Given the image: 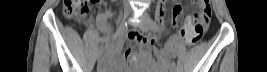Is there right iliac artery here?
<instances>
[{"instance_id": "obj_1", "label": "right iliac artery", "mask_w": 267, "mask_h": 72, "mask_svg": "<svg viewBox=\"0 0 267 72\" xmlns=\"http://www.w3.org/2000/svg\"><path fill=\"white\" fill-rule=\"evenodd\" d=\"M126 26H127V24L125 23V24L122 25V27L118 28L117 32L114 34V36L112 37V39L115 40L118 37H120L124 33V31L126 29ZM104 43H105V41L103 40L99 44V46H98V53L103 51V49H104Z\"/></svg>"}]
</instances>
